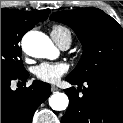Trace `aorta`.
Segmentation results:
<instances>
[{
  "label": "aorta",
  "instance_id": "762f6f07",
  "mask_svg": "<svg viewBox=\"0 0 123 123\" xmlns=\"http://www.w3.org/2000/svg\"><path fill=\"white\" fill-rule=\"evenodd\" d=\"M24 52L36 58H50L55 47L48 36L38 31L28 32L22 39ZM69 99L65 93L55 92L49 98V105L53 110L63 111L68 107Z\"/></svg>",
  "mask_w": 123,
  "mask_h": 123
}]
</instances>
